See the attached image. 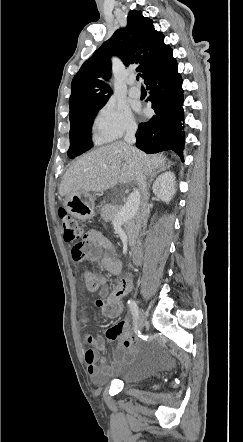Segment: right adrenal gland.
<instances>
[{
  "label": "right adrenal gland",
  "instance_id": "right-adrenal-gland-1",
  "mask_svg": "<svg viewBox=\"0 0 243 442\" xmlns=\"http://www.w3.org/2000/svg\"><path fill=\"white\" fill-rule=\"evenodd\" d=\"M170 166H171V163H168L166 166H164V167L161 168L159 171L153 173V174L150 176V178H149V182H148V187H147V190H148V191H149V189H150V186H151L152 181L154 180V177H155L159 172L164 171V170H166V169H169Z\"/></svg>",
  "mask_w": 243,
  "mask_h": 442
}]
</instances>
